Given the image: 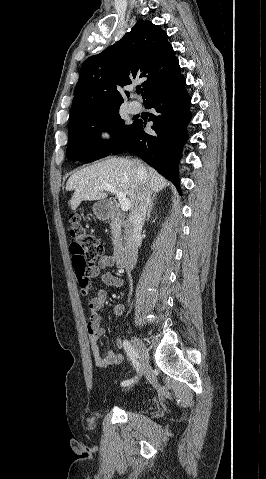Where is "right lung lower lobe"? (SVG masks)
I'll list each match as a JSON object with an SVG mask.
<instances>
[{
    "label": "right lung lower lobe",
    "mask_w": 266,
    "mask_h": 479,
    "mask_svg": "<svg viewBox=\"0 0 266 479\" xmlns=\"http://www.w3.org/2000/svg\"><path fill=\"white\" fill-rule=\"evenodd\" d=\"M185 85L186 80L180 74L151 93L145 99L144 105L147 109L156 110V113L149 117L155 133H146L143 129L146 123L141 120L134 121L124 140L111 152L119 154L130 151L138 155L176 186L179 183L178 163L182 147L187 140V133L184 131L191 119V99Z\"/></svg>",
    "instance_id": "1"
}]
</instances>
